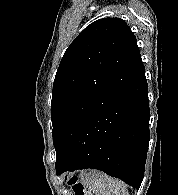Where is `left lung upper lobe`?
<instances>
[{"label":"left lung upper lobe","mask_w":178,"mask_h":195,"mask_svg":"<svg viewBox=\"0 0 178 195\" xmlns=\"http://www.w3.org/2000/svg\"><path fill=\"white\" fill-rule=\"evenodd\" d=\"M142 67L136 37L120 18L97 20L74 39L53 84L56 161L90 117Z\"/></svg>","instance_id":"left-lung-upper-lobe-1"}]
</instances>
